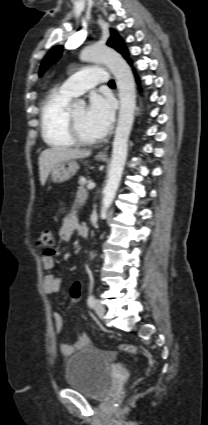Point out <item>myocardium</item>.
Masks as SVG:
<instances>
[{
    "label": "myocardium",
    "instance_id": "f54148a6",
    "mask_svg": "<svg viewBox=\"0 0 208 425\" xmlns=\"http://www.w3.org/2000/svg\"><path fill=\"white\" fill-rule=\"evenodd\" d=\"M69 133L75 144L81 146H92L99 142V139H86L80 132L79 127L74 118L73 112L69 109L67 114Z\"/></svg>",
    "mask_w": 208,
    "mask_h": 425
}]
</instances>
